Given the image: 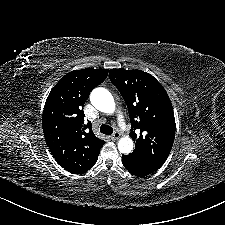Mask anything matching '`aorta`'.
<instances>
[{"mask_svg":"<svg viewBox=\"0 0 225 225\" xmlns=\"http://www.w3.org/2000/svg\"><path fill=\"white\" fill-rule=\"evenodd\" d=\"M90 101L100 111L109 112L114 107L111 93L103 87L95 88L90 95ZM118 149L122 154H129L133 150V142L129 138H122L118 142Z\"/></svg>","mask_w":225,"mask_h":225,"instance_id":"1","label":"aorta"}]
</instances>
